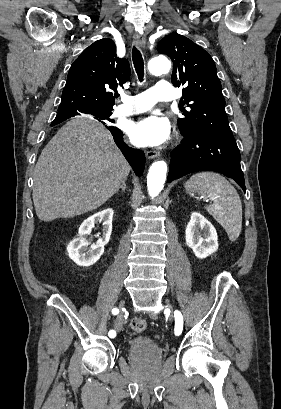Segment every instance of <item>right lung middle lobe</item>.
I'll return each instance as SVG.
<instances>
[{
  "label": "right lung middle lobe",
  "mask_w": 281,
  "mask_h": 409,
  "mask_svg": "<svg viewBox=\"0 0 281 409\" xmlns=\"http://www.w3.org/2000/svg\"><path fill=\"white\" fill-rule=\"evenodd\" d=\"M111 115H112V112H111V111H104V112H97L96 117L99 118V119H101V120H104V119L109 120L108 118H109V116H111ZM62 121H64V120L55 119V120L51 123V126H54V125H56V124H58V123H60V122H62Z\"/></svg>",
  "instance_id": "1"
}]
</instances>
